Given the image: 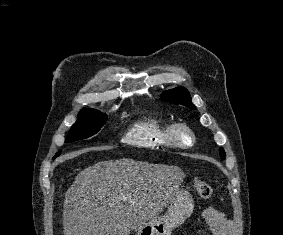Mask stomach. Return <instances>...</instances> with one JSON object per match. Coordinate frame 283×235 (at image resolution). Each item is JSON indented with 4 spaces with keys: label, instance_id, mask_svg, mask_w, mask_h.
<instances>
[{
    "label": "stomach",
    "instance_id": "stomach-1",
    "mask_svg": "<svg viewBox=\"0 0 283 235\" xmlns=\"http://www.w3.org/2000/svg\"><path fill=\"white\" fill-rule=\"evenodd\" d=\"M193 209L194 200L191 194L177 188L171 194L165 214L136 228L135 235H171L172 230L181 225L192 214Z\"/></svg>",
    "mask_w": 283,
    "mask_h": 235
}]
</instances>
